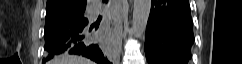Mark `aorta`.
<instances>
[{"label": "aorta", "mask_w": 242, "mask_h": 64, "mask_svg": "<svg viewBox=\"0 0 242 64\" xmlns=\"http://www.w3.org/2000/svg\"><path fill=\"white\" fill-rule=\"evenodd\" d=\"M150 10L151 0H134L132 33L135 38H140L144 34Z\"/></svg>", "instance_id": "762f6f07"}]
</instances>
